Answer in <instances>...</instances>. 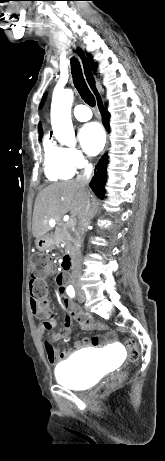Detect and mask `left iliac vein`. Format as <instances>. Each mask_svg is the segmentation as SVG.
<instances>
[{"label": "left iliac vein", "instance_id": "1", "mask_svg": "<svg viewBox=\"0 0 165 461\" xmlns=\"http://www.w3.org/2000/svg\"><path fill=\"white\" fill-rule=\"evenodd\" d=\"M78 300L81 301L80 298H79V296H78Z\"/></svg>", "mask_w": 165, "mask_h": 461}]
</instances>
